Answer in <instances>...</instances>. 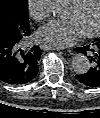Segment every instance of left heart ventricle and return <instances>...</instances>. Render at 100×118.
I'll return each instance as SVG.
<instances>
[{
  "mask_svg": "<svg viewBox=\"0 0 100 118\" xmlns=\"http://www.w3.org/2000/svg\"><path fill=\"white\" fill-rule=\"evenodd\" d=\"M65 17L74 19L83 33L88 32L92 30L98 22L99 0H84L79 6L69 4Z\"/></svg>",
  "mask_w": 100,
  "mask_h": 118,
  "instance_id": "left-heart-ventricle-1",
  "label": "left heart ventricle"
}]
</instances>
